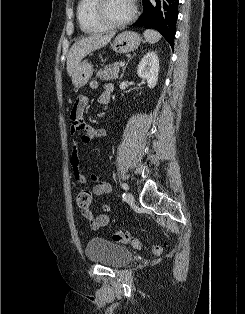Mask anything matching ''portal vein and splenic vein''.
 <instances>
[{"label":"portal vein and splenic vein","instance_id":"18ae733b","mask_svg":"<svg viewBox=\"0 0 245 314\" xmlns=\"http://www.w3.org/2000/svg\"><path fill=\"white\" fill-rule=\"evenodd\" d=\"M124 65H125L124 62H121V63H120V67H123Z\"/></svg>","mask_w":245,"mask_h":314}]
</instances>
